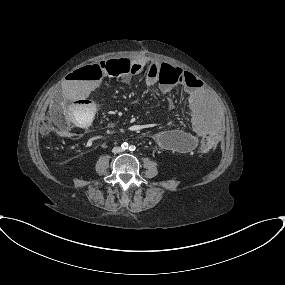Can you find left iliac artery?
<instances>
[{
    "label": "left iliac artery",
    "instance_id": "obj_1",
    "mask_svg": "<svg viewBox=\"0 0 285 285\" xmlns=\"http://www.w3.org/2000/svg\"><path fill=\"white\" fill-rule=\"evenodd\" d=\"M129 150H130V151H134V150H135V146H134V145H131V146L129 147Z\"/></svg>",
    "mask_w": 285,
    "mask_h": 285
}]
</instances>
